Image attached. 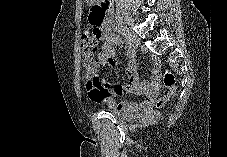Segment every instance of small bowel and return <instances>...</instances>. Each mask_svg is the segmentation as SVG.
<instances>
[{"mask_svg":"<svg viewBox=\"0 0 227 157\" xmlns=\"http://www.w3.org/2000/svg\"><path fill=\"white\" fill-rule=\"evenodd\" d=\"M102 40L98 52V62L102 66L114 67L118 64L115 56V45L118 43L116 36L110 32H98ZM125 72L128 76L127 84H110L100 80L93 85L86 84L89 98L96 103H106L109 107L129 112L147 109L153 106L156 95L160 88L159 63L155 62L153 75L150 81L140 80L136 70V63L130 59L125 65ZM134 92L143 95L144 101L141 104L133 102H118L116 96Z\"/></svg>","mask_w":227,"mask_h":157,"instance_id":"small-bowel-1","label":"small bowel"}]
</instances>
